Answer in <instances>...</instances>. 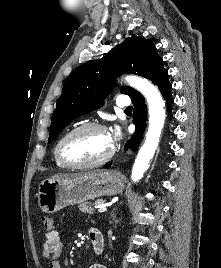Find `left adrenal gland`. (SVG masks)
I'll return each mask as SVG.
<instances>
[{
    "label": "left adrenal gland",
    "instance_id": "left-adrenal-gland-1",
    "mask_svg": "<svg viewBox=\"0 0 221 268\" xmlns=\"http://www.w3.org/2000/svg\"><path fill=\"white\" fill-rule=\"evenodd\" d=\"M112 218H113V220L115 219V214L114 213L112 214Z\"/></svg>",
    "mask_w": 221,
    "mask_h": 268
}]
</instances>
